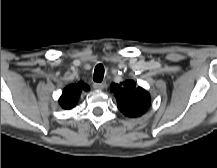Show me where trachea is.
I'll use <instances>...</instances> for the list:
<instances>
[{"instance_id": "obj_1", "label": "trachea", "mask_w": 217, "mask_h": 168, "mask_svg": "<svg viewBox=\"0 0 217 168\" xmlns=\"http://www.w3.org/2000/svg\"><path fill=\"white\" fill-rule=\"evenodd\" d=\"M103 77H104V66L102 64H98L94 70L93 80L95 82H101L103 80Z\"/></svg>"}]
</instances>
